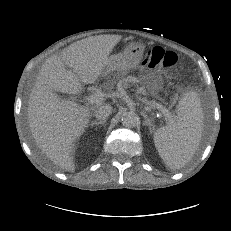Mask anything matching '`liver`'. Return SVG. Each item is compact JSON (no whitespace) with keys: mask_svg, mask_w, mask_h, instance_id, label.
<instances>
[{"mask_svg":"<svg viewBox=\"0 0 231 231\" xmlns=\"http://www.w3.org/2000/svg\"><path fill=\"white\" fill-rule=\"evenodd\" d=\"M121 39V35L106 34L70 44L61 55L45 61L31 91L27 114L32 137L42 153L66 171L75 169L76 141L88 127L92 112L103 102L81 106L56 92L78 94L82 84L95 83Z\"/></svg>","mask_w":231,"mask_h":231,"instance_id":"1","label":"liver"}]
</instances>
